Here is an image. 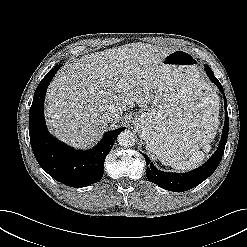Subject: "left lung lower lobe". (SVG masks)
<instances>
[{"label":"left lung lower lobe","instance_id":"left-lung-lower-lobe-1","mask_svg":"<svg viewBox=\"0 0 247 247\" xmlns=\"http://www.w3.org/2000/svg\"><path fill=\"white\" fill-rule=\"evenodd\" d=\"M205 70L211 81L219 88L224 97L225 102V124L223 127L222 137L217 151L212 155V157L201 167L197 168L188 173H168L158 170L154 167L153 163L146 154H143L146 164V176L149 181L161 186L162 188L169 191H186L189 190L207 179L218 167L226 145L229 129V118L227 113V101L222 88V85L218 79L214 76L211 68L205 65Z\"/></svg>","mask_w":247,"mask_h":247}]
</instances>
